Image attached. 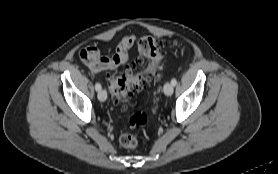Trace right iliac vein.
I'll use <instances>...</instances> for the list:
<instances>
[{"label":"right iliac vein","instance_id":"1","mask_svg":"<svg viewBox=\"0 0 278 174\" xmlns=\"http://www.w3.org/2000/svg\"><path fill=\"white\" fill-rule=\"evenodd\" d=\"M98 99L100 101H105L107 99V92L105 90H100L98 92Z\"/></svg>","mask_w":278,"mask_h":174}]
</instances>
